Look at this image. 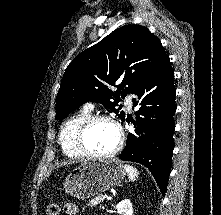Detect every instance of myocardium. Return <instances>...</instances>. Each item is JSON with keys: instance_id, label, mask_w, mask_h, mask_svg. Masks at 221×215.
I'll use <instances>...</instances> for the list:
<instances>
[{"instance_id": "1", "label": "myocardium", "mask_w": 221, "mask_h": 215, "mask_svg": "<svg viewBox=\"0 0 221 215\" xmlns=\"http://www.w3.org/2000/svg\"><path fill=\"white\" fill-rule=\"evenodd\" d=\"M99 121H107L111 123L115 127L117 132V142L115 146L111 150L105 153H94L87 148L85 143L87 132L96 122ZM76 142L79 150L84 155L98 159L108 158L114 156L116 153H118L121 150L124 144V132L120 123L113 117L105 114L91 115L87 120L84 121V123L79 128L76 136Z\"/></svg>"}]
</instances>
